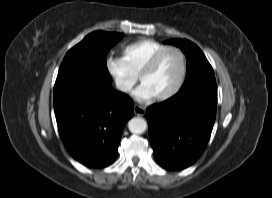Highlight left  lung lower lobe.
<instances>
[{
	"label": "left lung lower lobe",
	"instance_id": "obj_1",
	"mask_svg": "<svg viewBox=\"0 0 272 198\" xmlns=\"http://www.w3.org/2000/svg\"><path fill=\"white\" fill-rule=\"evenodd\" d=\"M217 105L216 81L181 88L163 103L147 108L150 141L157 162L165 169L192 165L210 138Z\"/></svg>",
	"mask_w": 272,
	"mask_h": 198
}]
</instances>
